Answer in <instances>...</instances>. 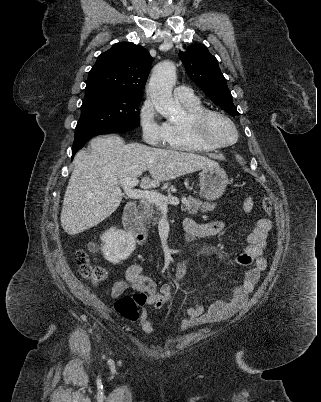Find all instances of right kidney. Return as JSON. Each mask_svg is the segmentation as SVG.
I'll return each mask as SVG.
<instances>
[{"label":"right kidney","mask_w":321,"mask_h":402,"mask_svg":"<svg viewBox=\"0 0 321 402\" xmlns=\"http://www.w3.org/2000/svg\"><path fill=\"white\" fill-rule=\"evenodd\" d=\"M101 240L104 243L103 255L112 264L126 260L136 248L135 239L131 234L114 227L107 230Z\"/></svg>","instance_id":"ca27d5eb"}]
</instances>
